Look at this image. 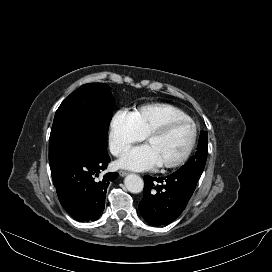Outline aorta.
<instances>
[{
	"instance_id": "1",
	"label": "aorta",
	"mask_w": 272,
	"mask_h": 272,
	"mask_svg": "<svg viewBox=\"0 0 272 272\" xmlns=\"http://www.w3.org/2000/svg\"><path fill=\"white\" fill-rule=\"evenodd\" d=\"M126 189L131 193H140L144 188L142 178L136 174H129L124 180Z\"/></svg>"
}]
</instances>
